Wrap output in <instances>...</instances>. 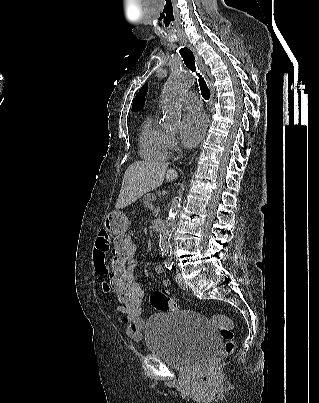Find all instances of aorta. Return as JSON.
<instances>
[{
	"instance_id": "1",
	"label": "aorta",
	"mask_w": 319,
	"mask_h": 403,
	"mask_svg": "<svg viewBox=\"0 0 319 403\" xmlns=\"http://www.w3.org/2000/svg\"><path fill=\"white\" fill-rule=\"evenodd\" d=\"M192 81V77L181 69L172 71L166 81L162 91L161 105L164 120L169 127H176L180 124L181 107L179 105V99L190 87ZM181 202V196L173 198L168 216L162 225L159 237V247L163 257L170 256L172 253L171 236L175 229L176 217Z\"/></svg>"
}]
</instances>
